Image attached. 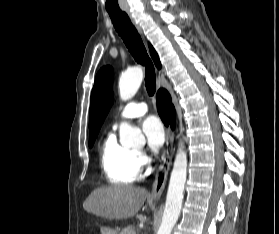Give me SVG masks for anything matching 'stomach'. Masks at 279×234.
Returning <instances> with one entry per match:
<instances>
[{"instance_id":"0dacf381","label":"stomach","mask_w":279,"mask_h":234,"mask_svg":"<svg viewBox=\"0 0 279 234\" xmlns=\"http://www.w3.org/2000/svg\"><path fill=\"white\" fill-rule=\"evenodd\" d=\"M101 234H119L117 230L111 229L109 227H101Z\"/></svg>"}]
</instances>
